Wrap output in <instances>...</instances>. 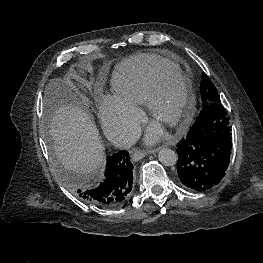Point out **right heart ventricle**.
<instances>
[{"label": "right heart ventricle", "instance_id": "e07e8e85", "mask_svg": "<svg viewBox=\"0 0 263 263\" xmlns=\"http://www.w3.org/2000/svg\"><path fill=\"white\" fill-rule=\"evenodd\" d=\"M164 70L178 68L174 63L151 54H138L124 60L112 74L114 97L133 107L144 104L152 78Z\"/></svg>", "mask_w": 263, "mask_h": 263}]
</instances>
